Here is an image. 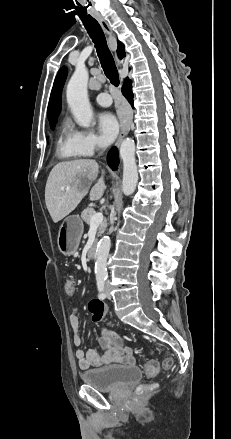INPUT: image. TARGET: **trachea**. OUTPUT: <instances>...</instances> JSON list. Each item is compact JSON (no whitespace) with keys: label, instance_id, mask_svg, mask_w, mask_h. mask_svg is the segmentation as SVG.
Listing matches in <instances>:
<instances>
[{"label":"trachea","instance_id":"trachea-1","mask_svg":"<svg viewBox=\"0 0 231 439\" xmlns=\"http://www.w3.org/2000/svg\"><path fill=\"white\" fill-rule=\"evenodd\" d=\"M83 24L95 44L101 66L110 82L118 86L119 74L113 56L108 48L104 32L99 23L90 16L83 17Z\"/></svg>","mask_w":231,"mask_h":439}]
</instances>
